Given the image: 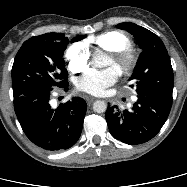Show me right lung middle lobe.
Listing matches in <instances>:
<instances>
[{
    "mask_svg": "<svg viewBox=\"0 0 187 187\" xmlns=\"http://www.w3.org/2000/svg\"><path fill=\"white\" fill-rule=\"evenodd\" d=\"M85 37L77 36L71 42ZM68 43L63 33H46L22 44L12 67L14 98L29 90L62 87L67 83L68 72L63 54Z\"/></svg>",
    "mask_w": 187,
    "mask_h": 187,
    "instance_id": "dd1d6c3e",
    "label": "right lung middle lobe"
}]
</instances>
